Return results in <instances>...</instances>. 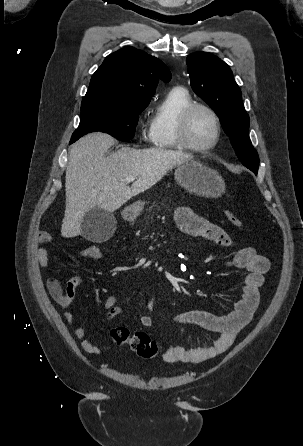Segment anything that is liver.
Instances as JSON below:
<instances>
[{"label":"liver","mask_w":303,"mask_h":446,"mask_svg":"<svg viewBox=\"0 0 303 446\" xmlns=\"http://www.w3.org/2000/svg\"><path fill=\"white\" fill-rule=\"evenodd\" d=\"M115 140L105 133H90L71 148L66 168V209L61 226L65 238L81 234V222L89 210L113 212L160 181L173 167L191 159L178 151L136 150L122 147L105 157ZM136 176L131 187L126 178Z\"/></svg>","instance_id":"1"}]
</instances>
